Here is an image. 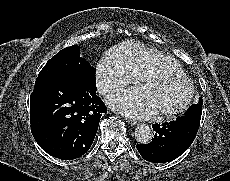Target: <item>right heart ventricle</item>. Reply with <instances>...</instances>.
Instances as JSON below:
<instances>
[{
	"label": "right heart ventricle",
	"mask_w": 230,
	"mask_h": 181,
	"mask_svg": "<svg viewBox=\"0 0 230 181\" xmlns=\"http://www.w3.org/2000/svg\"><path fill=\"white\" fill-rule=\"evenodd\" d=\"M107 59L113 65L124 68L135 80L158 71L184 74L172 57L136 41H126L113 47L108 51Z\"/></svg>",
	"instance_id": "right-heart-ventricle-1"
}]
</instances>
